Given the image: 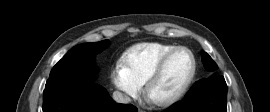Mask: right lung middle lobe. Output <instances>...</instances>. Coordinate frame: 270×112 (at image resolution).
Listing matches in <instances>:
<instances>
[{
	"label": "right lung middle lobe",
	"mask_w": 270,
	"mask_h": 112,
	"mask_svg": "<svg viewBox=\"0 0 270 112\" xmlns=\"http://www.w3.org/2000/svg\"><path fill=\"white\" fill-rule=\"evenodd\" d=\"M109 44L108 40L80 44L73 47L53 67L47 82L92 83L97 69L93 62L94 55Z\"/></svg>",
	"instance_id": "right-lung-middle-lobe-1"
}]
</instances>
